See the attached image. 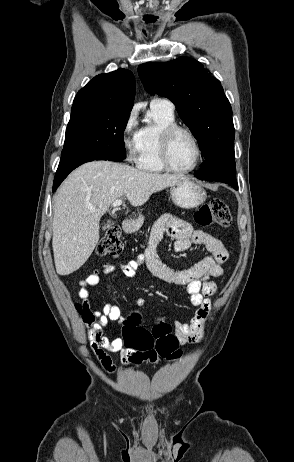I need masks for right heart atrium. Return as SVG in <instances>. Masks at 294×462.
I'll return each mask as SVG.
<instances>
[{"label": "right heart atrium", "instance_id": "d8ad5b80", "mask_svg": "<svg viewBox=\"0 0 294 462\" xmlns=\"http://www.w3.org/2000/svg\"><path fill=\"white\" fill-rule=\"evenodd\" d=\"M136 114L131 111L126 117L122 127V145L130 162L136 160L138 152V137L135 131Z\"/></svg>", "mask_w": 294, "mask_h": 462}]
</instances>
